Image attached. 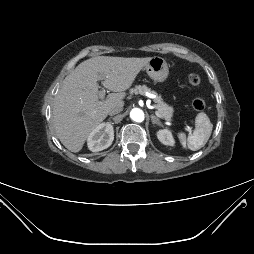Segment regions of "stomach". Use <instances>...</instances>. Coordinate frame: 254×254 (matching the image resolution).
I'll return each mask as SVG.
<instances>
[{
    "mask_svg": "<svg viewBox=\"0 0 254 254\" xmlns=\"http://www.w3.org/2000/svg\"><path fill=\"white\" fill-rule=\"evenodd\" d=\"M148 76L155 82L163 83L169 74L167 62L159 56L152 57L145 65Z\"/></svg>",
    "mask_w": 254,
    "mask_h": 254,
    "instance_id": "0dacf381",
    "label": "stomach"
}]
</instances>
